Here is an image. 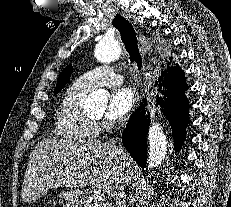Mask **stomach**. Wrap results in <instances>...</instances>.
I'll return each instance as SVG.
<instances>
[{"mask_svg": "<svg viewBox=\"0 0 231 207\" xmlns=\"http://www.w3.org/2000/svg\"><path fill=\"white\" fill-rule=\"evenodd\" d=\"M82 203L79 191H63L59 195V204L62 207H79Z\"/></svg>", "mask_w": 231, "mask_h": 207, "instance_id": "0dacf381", "label": "stomach"}]
</instances>
